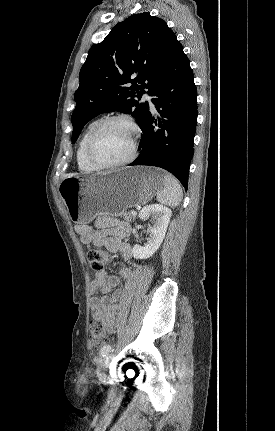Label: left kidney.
Returning <instances> with one entry per match:
<instances>
[{
  "mask_svg": "<svg viewBox=\"0 0 275 431\" xmlns=\"http://www.w3.org/2000/svg\"><path fill=\"white\" fill-rule=\"evenodd\" d=\"M172 212L169 208L160 204L145 206L139 213L142 220L152 216L153 223L149 228V238L145 246L134 245L132 249L133 257L136 259H146L151 257L160 247L166 234Z\"/></svg>",
  "mask_w": 275,
  "mask_h": 431,
  "instance_id": "5707ae66",
  "label": "left kidney"
}]
</instances>
